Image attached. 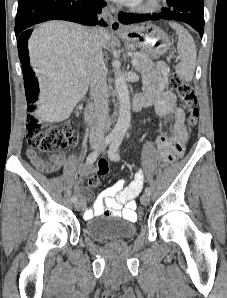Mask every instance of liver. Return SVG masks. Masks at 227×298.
Segmentation results:
<instances>
[{
    "instance_id": "6515ba94",
    "label": "liver",
    "mask_w": 227,
    "mask_h": 298,
    "mask_svg": "<svg viewBox=\"0 0 227 298\" xmlns=\"http://www.w3.org/2000/svg\"><path fill=\"white\" fill-rule=\"evenodd\" d=\"M89 31L95 32L105 47L110 39L106 30H89L67 21L42 23L29 38L30 63L40 87L37 117L41 122L68 119L87 93L90 77L85 47Z\"/></svg>"
}]
</instances>
